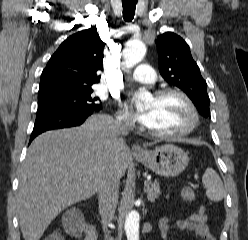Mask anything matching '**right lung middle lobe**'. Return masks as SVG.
<instances>
[{
  "instance_id": "obj_1",
  "label": "right lung middle lobe",
  "mask_w": 248,
  "mask_h": 240,
  "mask_svg": "<svg viewBox=\"0 0 248 240\" xmlns=\"http://www.w3.org/2000/svg\"><path fill=\"white\" fill-rule=\"evenodd\" d=\"M92 88L65 94L38 97V108L57 106L72 109L97 110L102 107L97 97H92Z\"/></svg>"
}]
</instances>
